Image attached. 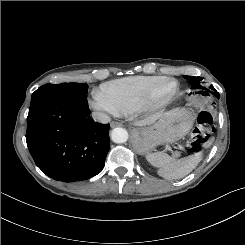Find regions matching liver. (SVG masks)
Listing matches in <instances>:
<instances>
[{"label": "liver", "mask_w": 245, "mask_h": 245, "mask_svg": "<svg viewBox=\"0 0 245 245\" xmlns=\"http://www.w3.org/2000/svg\"><path fill=\"white\" fill-rule=\"evenodd\" d=\"M156 118H157L156 116H153L148 119L138 121L136 124L139 126L149 125L152 124L156 120Z\"/></svg>", "instance_id": "1"}]
</instances>
